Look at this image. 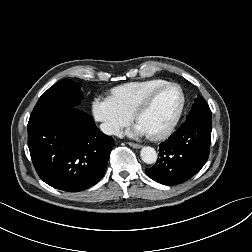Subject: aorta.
Masks as SVG:
<instances>
[{"label": "aorta", "mask_w": 252, "mask_h": 252, "mask_svg": "<svg viewBox=\"0 0 252 252\" xmlns=\"http://www.w3.org/2000/svg\"><path fill=\"white\" fill-rule=\"evenodd\" d=\"M141 159L146 164H153L157 160V153L153 147L145 146L140 152Z\"/></svg>", "instance_id": "762f6f07"}]
</instances>
